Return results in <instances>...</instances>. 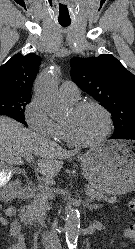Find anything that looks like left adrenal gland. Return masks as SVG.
<instances>
[{
  "label": "left adrenal gland",
  "mask_w": 135,
  "mask_h": 249,
  "mask_svg": "<svg viewBox=\"0 0 135 249\" xmlns=\"http://www.w3.org/2000/svg\"><path fill=\"white\" fill-rule=\"evenodd\" d=\"M85 205H86V207H88L89 210H97L101 207L100 205L90 204L88 199L86 200Z\"/></svg>",
  "instance_id": "left-adrenal-gland-1"
}]
</instances>
